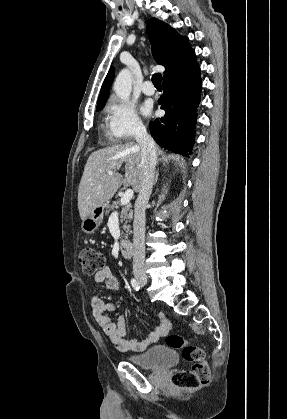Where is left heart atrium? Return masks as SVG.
Returning <instances> with one entry per match:
<instances>
[{"label": "left heart atrium", "mask_w": 287, "mask_h": 419, "mask_svg": "<svg viewBox=\"0 0 287 419\" xmlns=\"http://www.w3.org/2000/svg\"><path fill=\"white\" fill-rule=\"evenodd\" d=\"M141 111L144 115H148L151 111L150 105L144 104L141 108Z\"/></svg>", "instance_id": "left-heart-atrium-1"}]
</instances>
